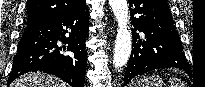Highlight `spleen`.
I'll use <instances>...</instances> for the list:
<instances>
[{
    "label": "spleen",
    "instance_id": "1",
    "mask_svg": "<svg viewBox=\"0 0 205 87\" xmlns=\"http://www.w3.org/2000/svg\"><path fill=\"white\" fill-rule=\"evenodd\" d=\"M169 83L171 87H184V84L181 83L177 78H170Z\"/></svg>",
    "mask_w": 205,
    "mask_h": 87
}]
</instances>
